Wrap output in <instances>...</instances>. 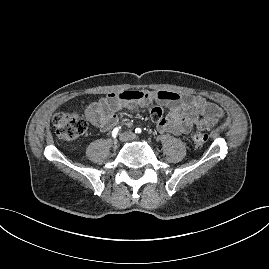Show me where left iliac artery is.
<instances>
[{"instance_id": "left-iliac-artery-1", "label": "left iliac artery", "mask_w": 269, "mask_h": 269, "mask_svg": "<svg viewBox=\"0 0 269 269\" xmlns=\"http://www.w3.org/2000/svg\"><path fill=\"white\" fill-rule=\"evenodd\" d=\"M142 132L141 128H136L135 133L140 134Z\"/></svg>"}]
</instances>
